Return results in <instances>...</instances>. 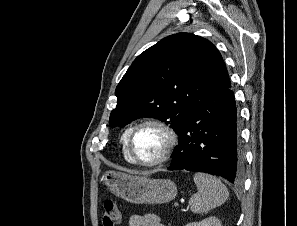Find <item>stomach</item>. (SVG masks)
<instances>
[{
  "label": "stomach",
  "instance_id": "0dacf381",
  "mask_svg": "<svg viewBox=\"0 0 297 226\" xmlns=\"http://www.w3.org/2000/svg\"><path fill=\"white\" fill-rule=\"evenodd\" d=\"M103 181L116 196L135 204H160L177 196V186L169 179H151L108 171Z\"/></svg>",
  "mask_w": 297,
  "mask_h": 226
}]
</instances>
